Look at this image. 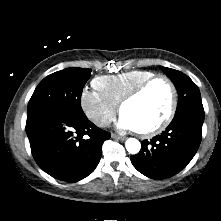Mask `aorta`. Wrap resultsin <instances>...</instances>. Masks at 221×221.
<instances>
[{"mask_svg": "<svg viewBox=\"0 0 221 221\" xmlns=\"http://www.w3.org/2000/svg\"><path fill=\"white\" fill-rule=\"evenodd\" d=\"M125 147L130 154H137L141 149V144L137 139L129 138L125 142Z\"/></svg>", "mask_w": 221, "mask_h": 221, "instance_id": "1", "label": "aorta"}]
</instances>
